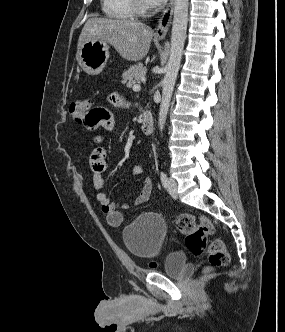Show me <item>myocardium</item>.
Masks as SVG:
<instances>
[{"label": "myocardium", "mask_w": 285, "mask_h": 332, "mask_svg": "<svg viewBox=\"0 0 285 332\" xmlns=\"http://www.w3.org/2000/svg\"><path fill=\"white\" fill-rule=\"evenodd\" d=\"M136 15L141 17L149 16L152 12L147 0H132Z\"/></svg>", "instance_id": "1"}]
</instances>
